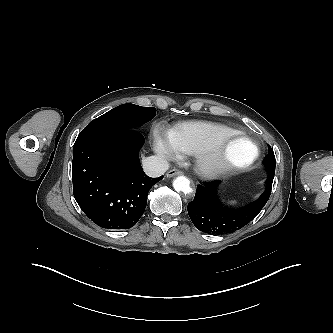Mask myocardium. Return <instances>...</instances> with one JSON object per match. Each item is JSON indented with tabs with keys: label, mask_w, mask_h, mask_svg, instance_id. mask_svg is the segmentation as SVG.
Returning <instances> with one entry per match:
<instances>
[{
	"label": "myocardium",
	"mask_w": 333,
	"mask_h": 333,
	"mask_svg": "<svg viewBox=\"0 0 333 333\" xmlns=\"http://www.w3.org/2000/svg\"><path fill=\"white\" fill-rule=\"evenodd\" d=\"M233 142H244L252 148L251 154L244 160L232 159L227 147ZM259 156V148L247 135L234 132L216 139L209 147L195 154L197 172L207 178L218 177L233 171H239L251 166Z\"/></svg>",
	"instance_id": "f54148a6"
}]
</instances>
